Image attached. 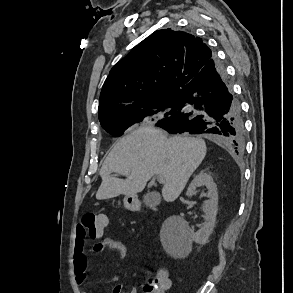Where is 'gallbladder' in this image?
Masks as SVG:
<instances>
[{"mask_svg": "<svg viewBox=\"0 0 293 293\" xmlns=\"http://www.w3.org/2000/svg\"><path fill=\"white\" fill-rule=\"evenodd\" d=\"M143 201L148 206H153L158 204V195L156 193H148L143 197Z\"/></svg>", "mask_w": 293, "mask_h": 293, "instance_id": "obj_1", "label": "gallbladder"}]
</instances>
